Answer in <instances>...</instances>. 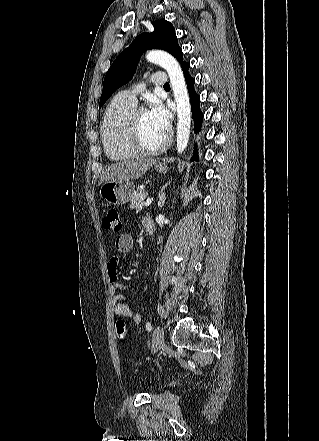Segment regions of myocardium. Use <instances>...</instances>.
<instances>
[{"label":"myocardium","mask_w":319,"mask_h":441,"mask_svg":"<svg viewBox=\"0 0 319 441\" xmlns=\"http://www.w3.org/2000/svg\"><path fill=\"white\" fill-rule=\"evenodd\" d=\"M146 112L143 107H135L132 111L129 123H128V141L130 146L134 149L137 154L140 155H157L165 151L171 141L170 136H166L165 140L155 148L146 147L140 136V114Z\"/></svg>","instance_id":"obj_1"}]
</instances>
